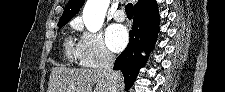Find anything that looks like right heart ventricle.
Wrapping results in <instances>:
<instances>
[{"label":"right heart ventricle","instance_id":"e07e8e85","mask_svg":"<svg viewBox=\"0 0 225 92\" xmlns=\"http://www.w3.org/2000/svg\"><path fill=\"white\" fill-rule=\"evenodd\" d=\"M71 46H72L71 40L67 39V40L65 41V51H66V55H67L68 57H72Z\"/></svg>","mask_w":225,"mask_h":92}]
</instances>
